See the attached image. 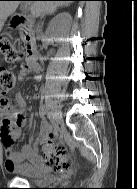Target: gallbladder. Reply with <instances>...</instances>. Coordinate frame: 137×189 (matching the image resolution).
Returning a JSON list of instances; mask_svg holds the SVG:
<instances>
[{"mask_svg":"<svg viewBox=\"0 0 137 189\" xmlns=\"http://www.w3.org/2000/svg\"><path fill=\"white\" fill-rule=\"evenodd\" d=\"M28 5H25V7H27ZM21 8H24V5L21 6Z\"/></svg>","mask_w":137,"mask_h":189,"instance_id":"obj_1","label":"gallbladder"}]
</instances>
